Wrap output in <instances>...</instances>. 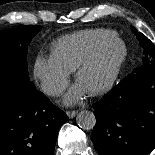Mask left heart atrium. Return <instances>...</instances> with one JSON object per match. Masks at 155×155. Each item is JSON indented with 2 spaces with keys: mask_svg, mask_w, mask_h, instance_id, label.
<instances>
[{
  "mask_svg": "<svg viewBox=\"0 0 155 155\" xmlns=\"http://www.w3.org/2000/svg\"><path fill=\"white\" fill-rule=\"evenodd\" d=\"M86 90L80 86L79 84L76 85L72 91L65 97V100L64 102L66 104H73L74 102L77 101V99H79L83 93L85 92Z\"/></svg>",
  "mask_w": 155,
  "mask_h": 155,
  "instance_id": "obj_1",
  "label": "left heart atrium"
}]
</instances>
